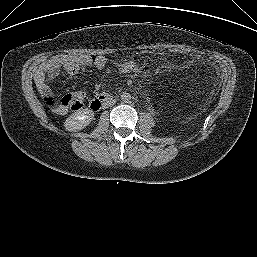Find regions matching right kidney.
<instances>
[{
  "mask_svg": "<svg viewBox=\"0 0 257 257\" xmlns=\"http://www.w3.org/2000/svg\"><path fill=\"white\" fill-rule=\"evenodd\" d=\"M94 118V112L90 109H82L71 114L65 121V129L76 132L87 127Z\"/></svg>",
  "mask_w": 257,
  "mask_h": 257,
  "instance_id": "right-kidney-1",
  "label": "right kidney"
}]
</instances>
